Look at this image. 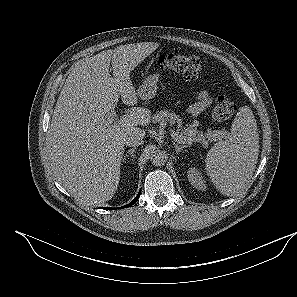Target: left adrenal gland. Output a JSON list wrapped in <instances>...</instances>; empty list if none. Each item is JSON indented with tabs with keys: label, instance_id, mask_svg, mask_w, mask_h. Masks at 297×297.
<instances>
[{
	"label": "left adrenal gland",
	"instance_id": "a2214340",
	"mask_svg": "<svg viewBox=\"0 0 297 297\" xmlns=\"http://www.w3.org/2000/svg\"><path fill=\"white\" fill-rule=\"evenodd\" d=\"M174 147H175V151L176 153H179L181 152L184 148L188 147L187 145H182V146H179L177 143H173Z\"/></svg>",
	"mask_w": 297,
	"mask_h": 297
}]
</instances>
